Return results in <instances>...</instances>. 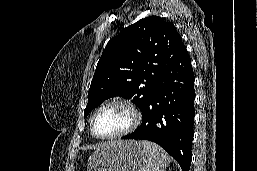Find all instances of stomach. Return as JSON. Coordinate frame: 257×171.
Listing matches in <instances>:
<instances>
[{
  "instance_id": "0dacf381",
  "label": "stomach",
  "mask_w": 257,
  "mask_h": 171,
  "mask_svg": "<svg viewBox=\"0 0 257 171\" xmlns=\"http://www.w3.org/2000/svg\"><path fill=\"white\" fill-rule=\"evenodd\" d=\"M146 163L139 142L125 140L96 150L88 160V171H144Z\"/></svg>"
}]
</instances>
